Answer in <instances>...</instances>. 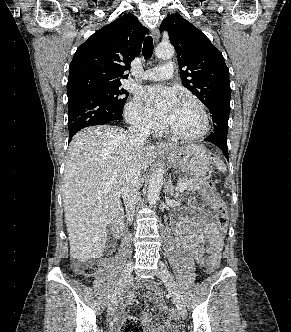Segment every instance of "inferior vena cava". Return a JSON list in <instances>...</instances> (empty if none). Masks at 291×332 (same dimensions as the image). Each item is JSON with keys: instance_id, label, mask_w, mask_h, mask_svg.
<instances>
[{"instance_id": "602c4592", "label": "inferior vena cava", "mask_w": 291, "mask_h": 332, "mask_svg": "<svg viewBox=\"0 0 291 332\" xmlns=\"http://www.w3.org/2000/svg\"><path fill=\"white\" fill-rule=\"evenodd\" d=\"M129 131V143L121 179V194L128 221L131 222L138 203V190L141 187L142 148L149 136V127L139 122Z\"/></svg>"}]
</instances>
